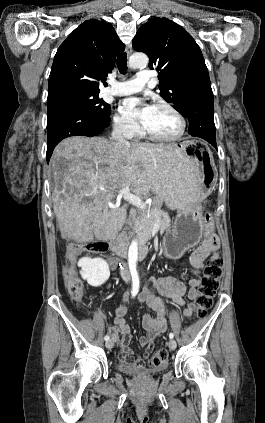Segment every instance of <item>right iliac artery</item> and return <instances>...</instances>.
Returning a JSON list of instances; mask_svg holds the SVG:
<instances>
[{
	"instance_id": "obj_1",
	"label": "right iliac artery",
	"mask_w": 265,
	"mask_h": 423,
	"mask_svg": "<svg viewBox=\"0 0 265 423\" xmlns=\"http://www.w3.org/2000/svg\"><path fill=\"white\" fill-rule=\"evenodd\" d=\"M130 271H131V275H132V290H131V295L132 297L136 296V294L139 291V285H140V281H139V276L138 273L136 271L135 265H131L130 266ZM109 336L106 335L104 337V339L107 341L109 340Z\"/></svg>"
}]
</instances>
